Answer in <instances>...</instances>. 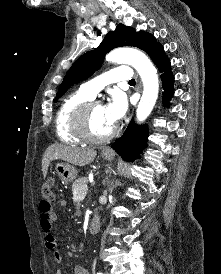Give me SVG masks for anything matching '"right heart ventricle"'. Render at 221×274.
Listing matches in <instances>:
<instances>
[{
	"label": "right heart ventricle",
	"mask_w": 221,
	"mask_h": 274,
	"mask_svg": "<svg viewBox=\"0 0 221 274\" xmlns=\"http://www.w3.org/2000/svg\"><path fill=\"white\" fill-rule=\"evenodd\" d=\"M81 89L69 94L60 104L55 116V133L57 138L66 144L76 145L83 142L73 128V115L83 103L92 100Z\"/></svg>",
	"instance_id": "1"
}]
</instances>
